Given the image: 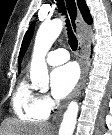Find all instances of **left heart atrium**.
Segmentation results:
<instances>
[{
	"mask_svg": "<svg viewBox=\"0 0 112 135\" xmlns=\"http://www.w3.org/2000/svg\"><path fill=\"white\" fill-rule=\"evenodd\" d=\"M79 78L75 64L68 63L55 68L51 72V90L56 99L67 96L75 87Z\"/></svg>",
	"mask_w": 112,
	"mask_h": 135,
	"instance_id": "1",
	"label": "left heart atrium"
}]
</instances>
